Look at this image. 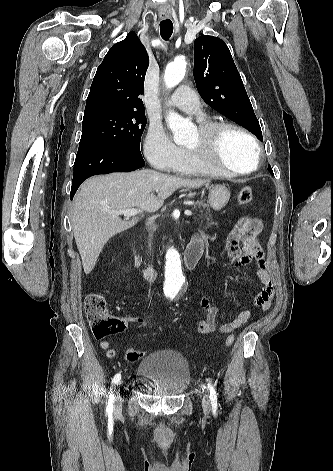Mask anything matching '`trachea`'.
Listing matches in <instances>:
<instances>
[{
	"mask_svg": "<svg viewBox=\"0 0 333 471\" xmlns=\"http://www.w3.org/2000/svg\"><path fill=\"white\" fill-rule=\"evenodd\" d=\"M160 33L164 40H168L173 33V23L171 20L166 19L160 22Z\"/></svg>",
	"mask_w": 333,
	"mask_h": 471,
	"instance_id": "1",
	"label": "trachea"
}]
</instances>
